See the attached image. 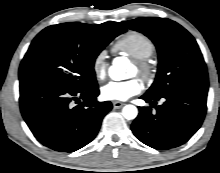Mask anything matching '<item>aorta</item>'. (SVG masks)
<instances>
[{"mask_svg": "<svg viewBox=\"0 0 220 173\" xmlns=\"http://www.w3.org/2000/svg\"><path fill=\"white\" fill-rule=\"evenodd\" d=\"M126 68V59L121 57L115 59L113 61V65L109 68V75L113 80L119 81L124 79L125 72L124 69ZM123 116L128 119L132 120L135 119L138 115V110L134 105H126L122 109Z\"/></svg>", "mask_w": 220, "mask_h": 173, "instance_id": "1", "label": "aorta"}]
</instances>
